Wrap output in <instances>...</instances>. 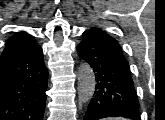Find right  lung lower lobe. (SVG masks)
Here are the masks:
<instances>
[{
	"label": "right lung lower lobe",
	"instance_id": "1",
	"mask_svg": "<svg viewBox=\"0 0 165 120\" xmlns=\"http://www.w3.org/2000/svg\"><path fill=\"white\" fill-rule=\"evenodd\" d=\"M48 71L29 34L7 41L0 56V120H42Z\"/></svg>",
	"mask_w": 165,
	"mask_h": 120
}]
</instances>
